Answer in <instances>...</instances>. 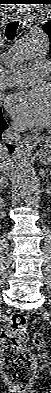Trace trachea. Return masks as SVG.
<instances>
[{"instance_id": "trachea-1", "label": "trachea", "mask_w": 51, "mask_h": 393, "mask_svg": "<svg viewBox=\"0 0 51 393\" xmlns=\"http://www.w3.org/2000/svg\"><path fill=\"white\" fill-rule=\"evenodd\" d=\"M18 22H10L5 29V35L8 40H13L16 36Z\"/></svg>"}]
</instances>
